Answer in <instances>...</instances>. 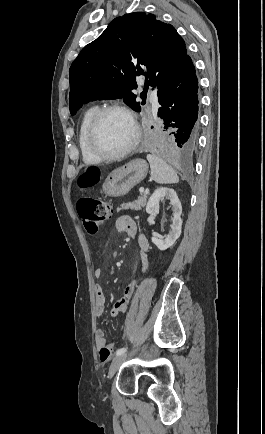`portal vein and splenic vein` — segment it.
<instances>
[{"label": "portal vein and splenic vein", "instance_id": "1", "mask_svg": "<svg viewBox=\"0 0 265 434\" xmlns=\"http://www.w3.org/2000/svg\"><path fill=\"white\" fill-rule=\"evenodd\" d=\"M139 192H144V188H140Z\"/></svg>", "mask_w": 265, "mask_h": 434}]
</instances>
